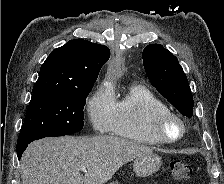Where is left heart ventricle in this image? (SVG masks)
I'll use <instances>...</instances> for the list:
<instances>
[{"mask_svg": "<svg viewBox=\"0 0 224 184\" xmlns=\"http://www.w3.org/2000/svg\"><path fill=\"white\" fill-rule=\"evenodd\" d=\"M170 133L171 134H177L178 133V127L176 125H172L170 128Z\"/></svg>", "mask_w": 224, "mask_h": 184, "instance_id": "b2bd125f", "label": "left heart ventricle"}]
</instances>
